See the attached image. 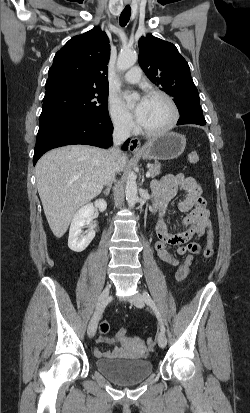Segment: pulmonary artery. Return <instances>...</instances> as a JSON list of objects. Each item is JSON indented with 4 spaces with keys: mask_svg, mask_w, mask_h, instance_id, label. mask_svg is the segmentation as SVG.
<instances>
[{
    "mask_svg": "<svg viewBox=\"0 0 250 413\" xmlns=\"http://www.w3.org/2000/svg\"><path fill=\"white\" fill-rule=\"evenodd\" d=\"M141 78V69L138 66L132 67L124 75V80L129 84H135L139 82Z\"/></svg>",
    "mask_w": 250,
    "mask_h": 413,
    "instance_id": "obj_1",
    "label": "pulmonary artery"
}]
</instances>
